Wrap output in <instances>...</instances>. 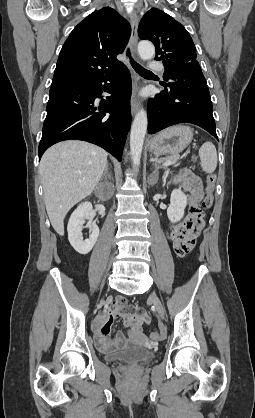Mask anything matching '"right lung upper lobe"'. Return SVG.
Listing matches in <instances>:
<instances>
[{"label":"right lung upper lobe","instance_id":"cb5924a9","mask_svg":"<svg viewBox=\"0 0 255 418\" xmlns=\"http://www.w3.org/2000/svg\"><path fill=\"white\" fill-rule=\"evenodd\" d=\"M130 24L114 9L104 7L80 22L65 41L52 84L114 74L124 67L116 56L124 51Z\"/></svg>","mask_w":255,"mask_h":418}]
</instances>
